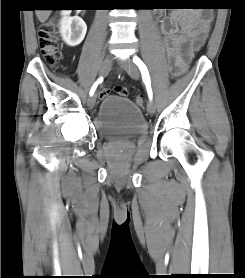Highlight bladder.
I'll use <instances>...</instances> for the list:
<instances>
[{
  "label": "bladder",
  "mask_w": 245,
  "mask_h": 278,
  "mask_svg": "<svg viewBox=\"0 0 245 278\" xmlns=\"http://www.w3.org/2000/svg\"><path fill=\"white\" fill-rule=\"evenodd\" d=\"M95 122L99 134L107 141L140 136L146 130L141 108L130 99L117 95L102 99Z\"/></svg>",
  "instance_id": "obj_1"
}]
</instances>
